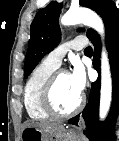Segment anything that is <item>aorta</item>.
<instances>
[{"label":"aorta","instance_id":"1","mask_svg":"<svg viewBox=\"0 0 119 141\" xmlns=\"http://www.w3.org/2000/svg\"><path fill=\"white\" fill-rule=\"evenodd\" d=\"M82 23L95 29L104 36V24L102 19L93 11L86 8L70 9L61 18V24L65 26ZM112 99V79L109 60L106 50L103 48L101 56V91H100V119L103 120L110 108Z\"/></svg>","mask_w":119,"mask_h":141}]
</instances>
